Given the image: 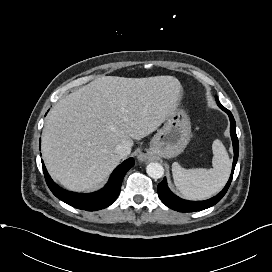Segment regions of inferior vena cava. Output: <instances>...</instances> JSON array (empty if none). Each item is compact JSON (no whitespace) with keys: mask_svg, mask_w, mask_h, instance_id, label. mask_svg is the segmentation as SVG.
Here are the masks:
<instances>
[{"mask_svg":"<svg viewBox=\"0 0 272 272\" xmlns=\"http://www.w3.org/2000/svg\"><path fill=\"white\" fill-rule=\"evenodd\" d=\"M116 151L121 158L128 156L131 152V144L128 142H122L116 146Z\"/></svg>","mask_w":272,"mask_h":272,"instance_id":"inferior-vena-cava-1","label":"inferior vena cava"}]
</instances>
